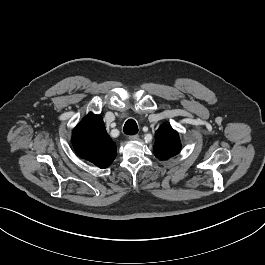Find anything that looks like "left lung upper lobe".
Returning <instances> with one entry per match:
<instances>
[{"instance_id":"obj_1","label":"left lung upper lobe","mask_w":265,"mask_h":265,"mask_svg":"<svg viewBox=\"0 0 265 265\" xmlns=\"http://www.w3.org/2000/svg\"><path fill=\"white\" fill-rule=\"evenodd\" d=\"M154 153L161 160L175 156L181 150L178 133L169 125H162L155 133Z\"/></svg>"}]
</instances>
